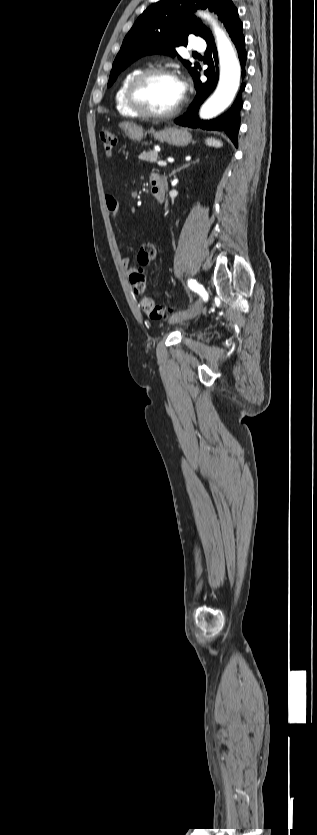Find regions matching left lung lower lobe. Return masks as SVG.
Returning <instances> with one entry per match:
<instances>
[{"instance_id":"1","label":"left lung lower lobe","mask_w":317,"mask_h":835,"mask_svg":"<svg viewBox=\"0 0 317 835\" xmlns=\"http://www.w3.org/2000/svg\"><path fill=\"white\" fill-rule=\"evenodd\" d=\"M224 12L228 14L227 21L225 22V27L236 46V49L239 54V60L242 67V77L245 76V63L247 59V53L245 51V38L243 36V25L238 16V10L232 3V1H228ZM208 47L205 52V60L204 63L208 65L207 70L204 74L207 76V81L205 83H201L199 79V73L196 72L193 75V79L195 82L196 88V96L193 102L190 105L188 111L181 116L180 118L175 120L176 124L182 126H188L191 128H201L204 130H219L225 131V133L229 136L232 140L234 145L238 146V129L240 124V117L239 111L242 107L241 101V92L245 88V84L241 85L240 92L231 106V108L224 113L223 115L219 116L213 120H200L196 114V111L199 109V106L203 103V101L208 97V95L215 89L219 71H218V56H217V49L214 43V38L211 36L207 41ZM199 68V67H198Z\"/></svg>"}]
</instances>
